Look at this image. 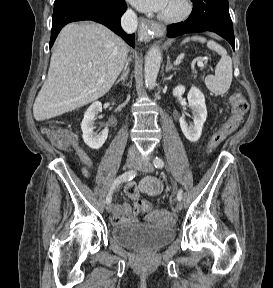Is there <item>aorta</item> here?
Returning a JSON list of instances; mask_svg holds the SVG:
<instances>
[{
	"label": "aorta",
	"instance_id": "762f6f07",
	"mask_svg": "<svg viewBox=\"0 0 273 288\" xmlns=\"http://www.w3.org/2000/svg\"><path fill=\"white\" fill-rule=\"evenodd\" d=\"M161 51L158 47L151 48L145 58L144 78L146 85L151 89L156 84V79L161 65Z\"/></svg>",
	"mask_w": 273,
	"mask_h": 288
}]
</instances>
